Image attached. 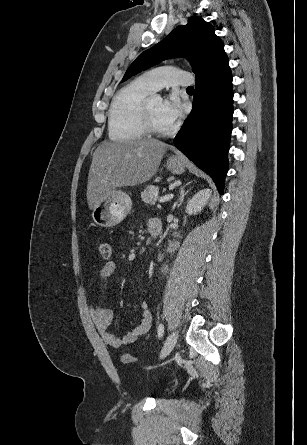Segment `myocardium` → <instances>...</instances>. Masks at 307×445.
Wrapping results in <instances>:
<instances>
[{"mask_svg":"<svg viewBox=\"0 0 307 445\" xmlns=\"http://www.w3.org/2000/svg\"><path fill=\"white\" fill-rule=\"evenodd\" d=\"M157 96V94L150 95L144 102L142 108H141V115L144 121V124L146 126L147 132L153 135H166V134H172L175 132L177 126L173 125L169 129H161L156 126L154 123V120L152 118L151 114V103L154 97ZM149 139H159L158 137H149Z\"/></svg>","mask_w":307,"mask_h":445,"instance_id":"1","label":"myocardium"}]
</instances>
